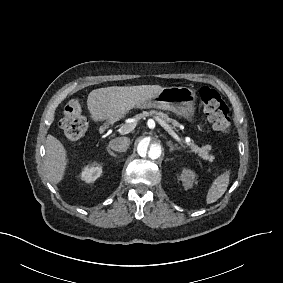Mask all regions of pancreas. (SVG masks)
Segmentation results:
<instances>
[{"instance_id":"pancreas-1","label":"pancreas","mask_w":283,"mask_h":283,"mask_svg":"<svg viewBox=\"0 0 283 283\" xmlns=\"http://www.w3.org/2000/svg\"><path fill=\"white\" fill-rule=\"evenodd\" d=\"M148 115H155L157 120L164 121L166 124H168L171 127H179L180 126L179 122L170 118L167 114H164L161 111L156 112V111L152 110L149 113L145 112L143 114L137 115V119L144 118ZM125 126L134 127L135 125L134 124H127ZM187 146H189L191 151L194 152L195 154H197L200 159L206 160L210 163H213L215 157L209 153V150L211 149L210 145L199 148L197 145H195L193 142H191V143H188Z\"/></svg>"}]
</instances>
